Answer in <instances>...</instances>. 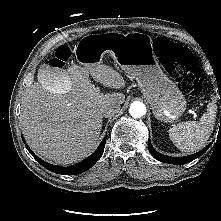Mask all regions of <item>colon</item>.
Wrapping results in <instances>:
<instances>
[{"mask_svg": "<svg viewBox=\"0 0 221 221\" xmlns=\"http://www.w3.org/2000/svg\"><path fill=\"white\" fill-rule=\"evenodd\" d=\"M154 50L161 56L167 71L176 80L184 94L191 97H197L201 94L204 74L189 49L173 44L166 38L158 37L154 42ZM70 56L71 50L68 46H59L54 58L50 61V65L61 68Z\"/></svg>", "mask_w": 221, "mask_h": 221, "instance_id": "5ec220e1", "label": "colon"}]
</instances>
